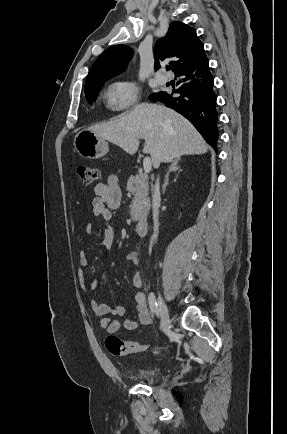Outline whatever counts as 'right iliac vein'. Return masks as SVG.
I'll return each mask as SVG.
<instances>
[{"label": "right iliac vein", "mask_w": 287, "mask_h": 434, "mask_svg": "<svg viewBox=\"0 0 287 434\" xmlns=\"http://www.w3.org/2000/svg\"><path fill=\"white\" fill-rule=\"evenodd\" d=\"M158 298H159V313L161 318V331H165L170 325L171 320H170L166 302L162 297L161 293H159Z\"/></svg>", "instance_id": "63e3f726"}]
</instances>
